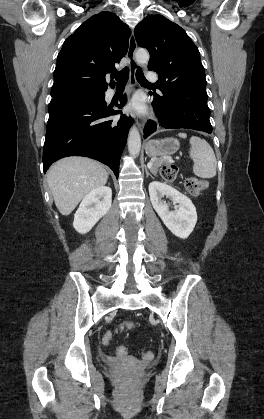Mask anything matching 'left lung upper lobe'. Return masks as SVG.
Listing matches in <instances>:
<instances>
[{"label":"left lung upper lobe","mask_w":264,"mask_h":419,"mask_svg":"<svg viewBox=\"0 0 264 419\" xmlns=\"http://www.w3.org/2000/svg\"><path fill=\"white\" fill-rule=\"evenodd\" d=\"M134 33L138 45L150 53L148 69L158 73L162 93L206 87L199 50L180 26L162 15H149Z\"/></svg>","instance_id":"left-lung-upper-lobe-1"}]
</instances>
